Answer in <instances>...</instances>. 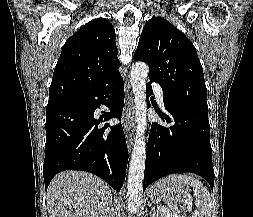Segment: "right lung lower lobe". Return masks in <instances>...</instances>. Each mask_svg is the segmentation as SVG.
<instances>
[{"instance_id": "98d812e1", "label": "right lung lower lobe", "mask_w": 253, "mask_h": 217, "mask_svg": "<svg viewBox=\"0 0 253 217\" xmlns=\"http://www.w3.org/2000/svg\"><path fill=\"white\" fill-rule=\"evenodd\" d=\"M105 104L110 112L98 121L94 111ZM124 86L118 72L87 93L48 103L43 177L47 189L51 179L64 170L91 172L115 190L123 185L128 150L122 126L100 125L121 118Z\"/></svg>"}]
</instances>
